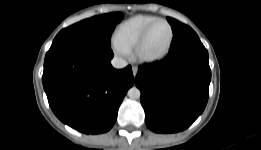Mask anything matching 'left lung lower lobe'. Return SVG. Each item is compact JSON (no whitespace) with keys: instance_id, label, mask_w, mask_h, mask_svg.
<instances>
[{"instance_id":"0a47b994","label":"left lung lower lobe","mask_w":261,"mask_h":150,"mask_svg":"<svg viewBox=\"0 0 261 150\" xmlns=\"http://www.w3.org/2000/svg\"><path fill=\"white\" fill-rule=\"evenodd\" d=\"M210 80L208 52L186 26L174 34L165 59L138 69L135 83L147 127L157 133L188 128L207 104Z\"/></svg>"}]
</instances>
